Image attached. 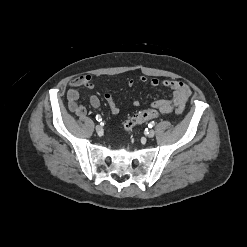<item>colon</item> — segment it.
Wrapping results in <instances>:
<instances>
[{
  "mask_svg": "<svg viewBox=\"0 0 247 247\" xmlns=\"http://www.w3.org/2000/svg\"><path fill=\"white\" fill-rule=\"evenodd\" d=\"M158 116H159V112L157 109H147L140 111L126 122L125 129L130 130L134 125L157 118Z\"/></svg>",
  "mask_w": 247,
  "mask_h": 247,
  "instance_id": "5ec220e1",
  "label": "colon"
}]
</instances>
